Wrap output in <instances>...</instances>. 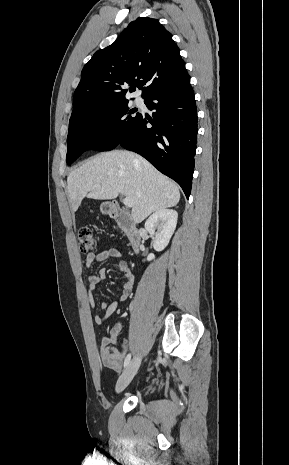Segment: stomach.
Here are the masks:
<instances>
[{
  "label": "stomach",
  "instance_id": "obj_1",
  "mask_svg": "<svg viewBox=\"0 0 289 465\" xmlns=\"http://www.w3.org/2000/svg\"><path fill=\"white\" fill-rule=\"evenodd\" d=\"M101 210H102L103 212H107L106 203H103V204L101 205Z\"/></svg>",
  "mask_w": 289,
  "mask_h": 465
}]
</instances>
